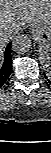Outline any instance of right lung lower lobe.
Listing matches in <instances>:
<instances>
[{"label": "right lung lower lobe", "mask_w": 51, "mask_h": 153, "mask_svg": "<svg viewBox=\"0 0 51 153\" xmlns=\"http://www.w3.org/2000/svg\"><path fill=\"white\" fill-rule=\"evenodd\" d=\"M4 53V63L0 68V87L6 82L12 71L11 43L8 44Z\"/></svg>", "instance_id": "1"}]
</instances>
